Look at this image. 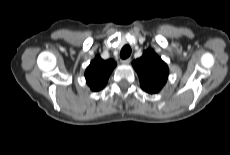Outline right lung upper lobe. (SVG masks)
Listing matches in <instances>:
<instances>
[{
    "mask_svg": "<svg viewBox=\"0 0 230 155\" xmlns=\"http://www.w3.org/2000/svg\"><path fill=\"white\" fill-rule=\"evenodd\" d=\"M115 66L114 60L105 61L100 56H96L85 71V78L91 90L99 91L103 89Z\"/></svg>",
    "mask_w": 230,
    "mask_h": 155,
    "instance_id": "cb5924a9",
    "label": "right lung upper lobe"
}]
</instances>
